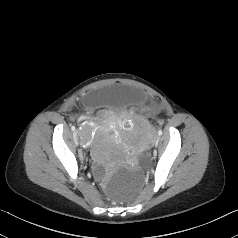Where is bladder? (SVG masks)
<instances>
[{"label": "bladder", "instance_id": "bladder-1", "mask_svg": "<svg viewBox=\"0 0 238 238\" xmlns=\"http://www.w3.org/2000/svg\"><path fill=\"white\" fill-rule=\"evenodd\" d=\"M85 101L91 107L98 105L102 109L124 113L141 106L144 98L140 90L132 86L112 85L87 94Z\"/></svg>", "mask_w": 238, "mask_h": 238}]
</instances>
